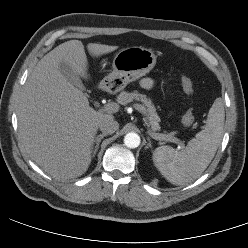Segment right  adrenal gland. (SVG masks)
I'll return each instance as SVG.
<instances>
[{
	"label": "right adrenal gland",
	"mask_w": 248,
	"mask_h": 248,
	"mask_svg": "<svg viewBox=\"0 0 248 248\" xmlns=\"http://www.w3.org/2000/svg\"><path fill=\"white\" fill-rule=\"evenodd\" d=\"M106 136V134H100V135H98V136H96L95 138H94V143H93V147H92V157H95V155H96V153H97V151H98V149H99V144H100V142H101V140L104 138ZM96 144V145H95ZM95 145V146H94Z\"/></svg>",
	"instance_id": "2a0ac1e0"
}]
</instances>
